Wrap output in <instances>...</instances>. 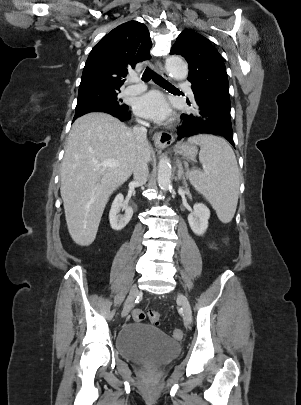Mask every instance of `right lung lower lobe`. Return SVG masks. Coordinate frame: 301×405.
Segmentation results:
<instances>
[{"mask_svg": "<svg viewBox=\"0 0 301 405\" xmlns=\"http://www.w3.org/2000/svg\"><path fill=\"white\" fill-rule=\"evenodd\" d=\"M101 112L108 113L114 117L119 118L121 121H126L130 119V113L127 110H103ZM79 116H74V120Z\"/></svg>", "mask_w": 301, "mask_h": 405, "instance_id": "1", "label": "right lung lower lobe"}]
</instances>
